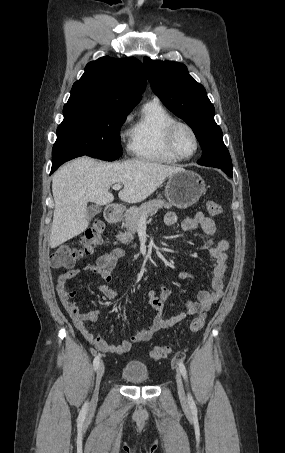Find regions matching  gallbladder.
Segmentation results:
<instances>
[{"mask_svg": "<svg viewBox=\"0 0 285 453\" xmlns=\"http://www.w3.org/2000/svg\"><path fill=\"white\" fill-rule=\"evenodd\" d=\"M102 211V208L97 205H91L87 208L86 216L90 220L97 214H99Z\"/></svg>", "mask_w": 285, "mask_h": 453, "instance_id": "gallbladder-1", "label": "gallbladder"}]
</instances>
